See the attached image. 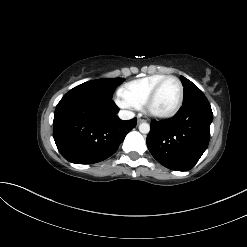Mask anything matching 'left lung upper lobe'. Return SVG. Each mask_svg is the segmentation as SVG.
<instances>
[{
	"mask_svg": "<svg viewBox=\"0 0 247 247\" xmlns=\"http://www.w3.org/2000/svg\"><path fill=\"white\" fill-rule=\"evenodd\" d=\"M180 78L184 86L183 104L193 100L194 98L204 97L203 92L194 83L183 76Z\"/></svg>",
	"mask_w": 247,
	"mask_h": 247,
	"instance_id": "left-lung-upper-lobe-1",
	"label": "left lung upper lobe"
}]
</instances>
